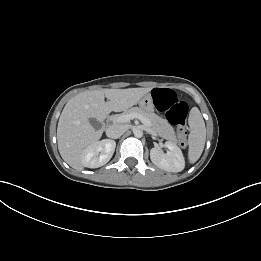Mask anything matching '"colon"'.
<instances>
[{"label":"colon","mask_w":261,"mask_h":261,"mask_svg":"<svg viewBox=\"0 0 261 261\" xmlns=\"http://www.w3.org/2000/svg\"><path fill=\"white\" fill-rule=\"evenodd\" d=\"M152 97L156 108L166 113L168 120L179 129L180 144L186 147L185 123L189 112L188 104L170 89H154Z\"/></svg>","instance_id":"5ec220e1"}]
</instances>
